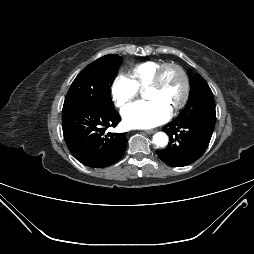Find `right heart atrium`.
<instances>
[{
    "mask_svg": "<svg viewBox=\"0 0 254 254\" xmlns=\"http://www.w3.org/2000/svg\"><path fill=\"white\" fill-rule=\"evenodd\" d=\"M138 94V87L129 77L119 74L114 78L111 84V96L116 106L123 107L136 98Z\"/></svg>",
    "mask_w": 254,
    "mask_h": 254,
    "instance_id": "right-heart-atrium-1",
    "label": "right heart atrium"
}]
</instances>
